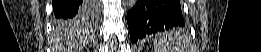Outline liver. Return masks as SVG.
<instances>
[{"instance_id": "liver-1", "label": "liver", "mask_w": 261, "mask_h": 52, "mask_svg": "<svg viewBox=\"0 0 261 52\" xmlns=\"http://www.w3.org/2000/svg\"><path fill=\"white\" fill-rule=\"evenodd\" d=\"M67 26H58L57 25V32H60L62 29H65Z\"/></svg>"}]
</instances>
